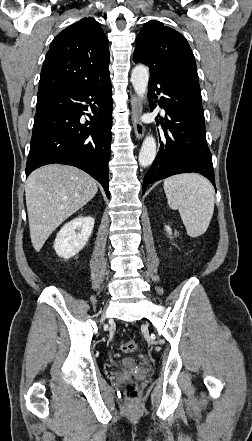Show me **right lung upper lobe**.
<instances>
[{
    "label": "right lung upper lobe",
    "mask_w": 252,
    "mask_h": 441,
    "mask_svg": "<svg viewBox=\"0 0 252 441\" xmlns=\"http://www.w3.org/2000/svg\"><path fill=\"white\" fill-rule=\"evenodd\" d=\"M108 39L99 23L83 18L67 27L52 41L46 54L38 98L78 86L110 82Z\"/></svg>",
    "instance_id": "cb5924a9"
}]
</instances>
